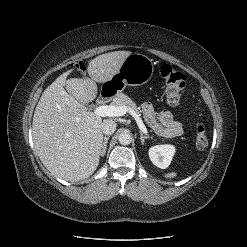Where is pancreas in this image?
<instances>
[{
  "label": "pancreas",
  "instance_id": "cf45deb5",
  "mask_svg": "<svg viewBox=\"0 0 247 247\" xmlns=\"http://www.w3.org/2000/svg\"><path fill=\"white\" fill-rule=\"evenodd\" d=\"M113 105L115 106H122L125 105L129 108H131L134 112H136L139 116L141 115L140 110L137 108L136 104L130 99L128 96H126L123 93H118L113 102Z\"/></svg>",
  "mask_w": 247,
  "mask_h": 247
}]
</instances>
